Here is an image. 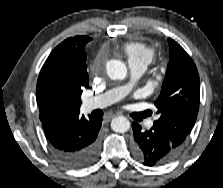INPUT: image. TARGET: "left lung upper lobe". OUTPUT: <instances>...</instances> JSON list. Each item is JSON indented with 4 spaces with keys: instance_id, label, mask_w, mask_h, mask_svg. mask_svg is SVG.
Returning <instances> with one entry per match:
<instances>
[{
    "instance_id": "left-lung-upper-lobe-1",
    "label": "left lung upper lobe",
    "mask_w": 223,
    "mask_h": 188,
    "mask_svg": "<svg viewBox=\"0 0 223 188\" xmlns=\"http://www.w3.org/2000/svg\"><path fill=\"white\" fill-rule=\"evenodd\" d=\"M170 61L161 93L155 101L160 118L154 122L182 147L193 128L200 102V80L191 57L168 39Z\"/></svg>"
}]
</instances>
